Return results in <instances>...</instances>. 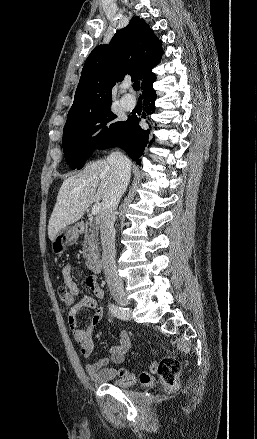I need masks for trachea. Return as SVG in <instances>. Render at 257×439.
Segmentation results:
<instances>
[{"instance_id":"obj_1","label":"trachea","mask_w":257,"mask_h":439,"mask_svg":"<svg viewBox=\"0 0 257 439\" xmlns=\"http://www.w3.org/2000/svg\"><path fill=\"white\" fill-rule=\"evenodd\" d=\"M133 89L135 91H139L140 90V82L139 81H135L133 84Z\"/></svg>"}]
</instances>
